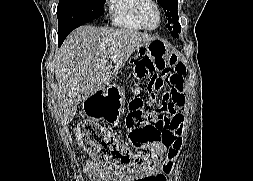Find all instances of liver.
I'll use <instances>...</instances> for the list:
<instances>
[{
  "label": "liver",
  "instance_id": "obj_1",
  "mask_svg": "<svg viewBox=\"0 0 253 181\" xmlns=\"http://www.w3.org/2000/svg\"><path fill=\"white\" fill-rule=\"evenodd\" d=\"M154 40L130 29L85 25L72 31L54 57L62 123L68 124L78 104L108 85L135 50Z\"/></svg>",
  "mask_w": 253,
  "mask_h": 181
}]
</instances>
